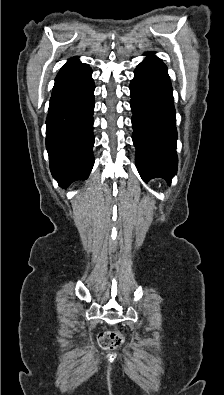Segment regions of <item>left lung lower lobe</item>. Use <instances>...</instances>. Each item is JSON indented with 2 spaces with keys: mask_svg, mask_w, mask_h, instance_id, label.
Listing matches in <instances>:
<instances>
[{
  "mask_svg": "<svg viewBox=\"0 0 224 395\" xmlns=\"http://www.w3.org/2000/svg\"><path fill=\"white\" fill-rule=\"evenodd\" d=\"M153 54L146 53L130 84L132 139L141 178L162 177L170 183L178 162L172 86L167 67Z\"/></svg>",
  "mask_w": 224,
  "mask_h": 395,
  "instance_id": "left-lung-lower-lobe-1",
  "label": "left lung lower lobe"
}]
</instances>
